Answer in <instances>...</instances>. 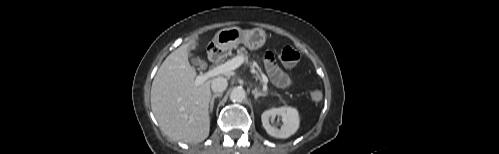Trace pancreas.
Here are the masks:
<instances>
[{"label":"pancreas","mask_w":499,"mask_h":154,"mask_svg":"<svg viewBox=\"0 0 499 154\" xmlns=\"http://www.w3.org/2000/svg\"><path fill=\"white\" fill-rule=\"evenodd\" d=\"M237 56H242L244 58V61L248 64H251L248 59H249V56H248V52L246 51V49L244 47H241L237 50ZM252 68H254V65H252ZM254 74H255V78L258 79V80H261V76L259 74V72L257 70L254 71ZM264 83V82H263Z\"/></svg>","instance_id":"cf45deb5"}]
</instances>
